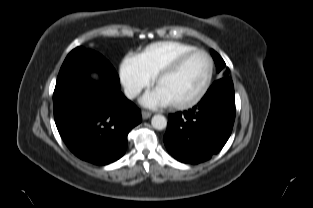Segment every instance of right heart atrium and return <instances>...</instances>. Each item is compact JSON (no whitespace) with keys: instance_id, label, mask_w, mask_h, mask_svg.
<instances>
[{"instance_id":"right-heart-atrium-1","label":"right heart atrium","mask_w":313,"mask_h":208,"mask_svg":"<svg viewBox=\"0 0 313 208\" xmlns=\"http://www.w3.org/2000/svg\"><path fill=\"white\" fill-rule=\"evenodd\" d=\"M120 75L125 90L130 97L137 96L152 82V77L136 65L134 58L127 59L123 63Z\"/></svg>"}]
</instances>
